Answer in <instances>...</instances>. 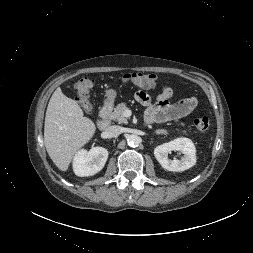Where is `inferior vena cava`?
Instances as JSON below:
<instances>
[{"label": "inferior vena cava", "mask_w": 253, "mask_h": 253, "mask_svg": "<svg viewBox=\"0 0 253 253\" xmlns=\"http://www.w3.org/2000/svg\"><path fill=\"white\" fill-rule=\"evenodd\" d=\"M104 133L109 138L117 137L118 135L122 133V127L118 125H113V126L108 127Z\"/></svg>", "instance_id": "inferior-vena-cava-1"}]
</instances>
